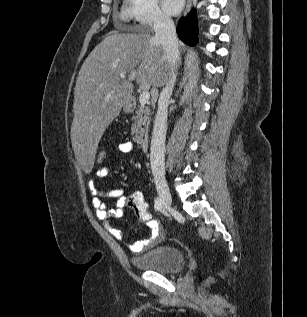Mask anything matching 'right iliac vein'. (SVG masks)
<instances>
[{"instance_id":"1","label":"right iliac vein","mask_w":307,"mask_h":317,"mask_svg":"<svg viewBox=\"0 0 307 317\" xmlns=\"http://www.w3.org/2000/svg\"><path fill=\"white\" fill-rule=\"evenodd\" d=\"M155 184L164 208H170L172 204V196L165 178L163 176L155 177Z\"/></svg>"}]
</instances>
